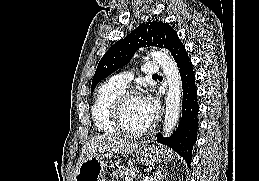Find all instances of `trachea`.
Segmentation results:
<instances>
[{"instance_id": "obj_1", "label": "trachea", "mask_w": 259, "mask_h": 181, "mask_svg": "<svg viewBox=\"0 0 259 181\" xmlns=\"http://www.w3.org/2000/svg\"><path fill=\"white\" fill-rule=\"evenodd\" d=\"M156 76H158V74L153 75V77H156Z\"/></svg>"}]
</instances>
